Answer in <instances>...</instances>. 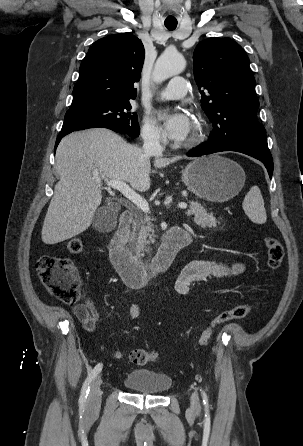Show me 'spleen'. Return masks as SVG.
<instances>
[{
	"label": "spleen",
	"instance_id": "1",
	"mask_svg": "<svg viewBox=\"0 0 303 446\" xmlns=\"http://www.w3.org/2000/svg\"><path fill=\"white\" fill-rule=\"evenodd\" d=\"M242 207L249 219L256 224H264L267 220L263 197L258 186L254 185L246 194Z\"/></svg>",
	"mask_w": 303,
	"mask_h": 446
}]
</instances>
